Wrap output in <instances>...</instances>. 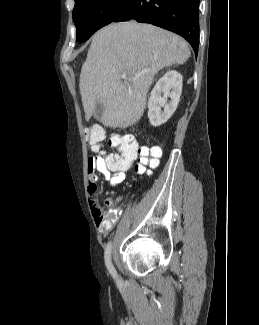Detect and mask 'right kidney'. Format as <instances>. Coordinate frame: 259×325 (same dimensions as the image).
I'll list each match as a JSON object with an SVG mask.
<instances>
[{"instance_id": "ca27d5eb", "label": "right kidney", "mask_w": 259, "mask_h": 325, "mask_svg": "<svg viewBox=\"0 0 259 325\" xmlns=\"http://www.w3.org/2000/svg\"><path fill=\"white\" fill-rule=\"evenodd\" d=\"M181 92L182 75L175 70L168 71L157 81L148 100V118L152 126L167 122L177 108Z\"/></svg>"}]
</instances>
